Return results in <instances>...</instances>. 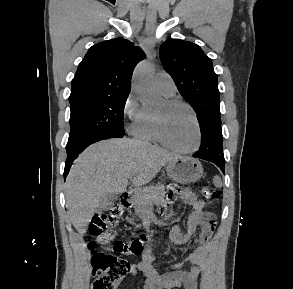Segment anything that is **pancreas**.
Segmentation results:
<instances>
[{"instance_id":"1","label":"pancreas","mask_w":293,"mask_h":289,"mask_svg":"<svg viewBox=\"0 0 293 289\" xmlns=\"http://www.w3.org/2000/svg\"><path fill=\"white\" fill-rule=\"evenodd\" d=\"M164 196V185L149 186L142 190H138L132 198L135 214L140 219H144L146 212L152 207V205L156 201L163 200Z\"/></svg>"}]
</instances>
